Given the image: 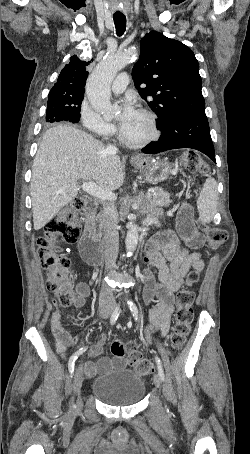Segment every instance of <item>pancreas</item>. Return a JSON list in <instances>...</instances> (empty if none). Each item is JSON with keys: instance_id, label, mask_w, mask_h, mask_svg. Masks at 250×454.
I'll list each match as a JSON object with an SVG mask.
<instances>
[{"instance_id": "obj_1", "label": "pancreas", "mask_w": 250, "mask_h": 454, "mask_svg": "<svg viewBox=\"0 0 250 454\" xmlns=\"http://www.w3.org/2000/svg\"><path fill=\"white\" fill-rule=\"evenodd\" d=\"M149 196H151V198H152L151 203L154 206H169V204L171 202L168 193L164 192L160 188L155 189L152 194H149ZM95 223L99 224V230H101L102 229V222H101V216L100 215L95 217Z\"/></svg>"}]
</instances>
